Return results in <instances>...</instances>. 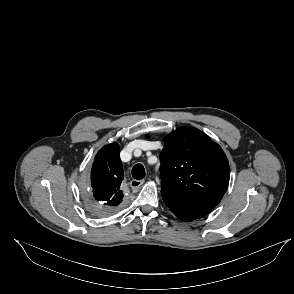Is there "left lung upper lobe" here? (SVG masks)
I'll use <instances>...</instances> for the list:
<instances>
[{"label":"left lung upper lobe","mask_w":294,"mask_h":294,"mask_svg":"<svg viewBox=\"0 0 294 294\" xmlns=\"http://www.w3.org/2000/svg\"><path fill=\"white\" fill-rule=\"evenodd\" d=\"M160 154L162 198L181 220L208 214L229 184V163L221 147L202 131L181 127L168 134Z\"/></svg>","instance_id":"obj_1"}]
</instances>
